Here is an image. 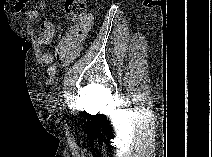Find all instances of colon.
Instances as JSON below:
<instances>
[{"label": "colon", "instance_id": "5ec220e1", "mask_svg": "<svg viewBox=\"0 0 212 157\" xmlns=\"http://www.w3.org/2000/svg\"><path fill=\"white\" fill-rule=\"evenodd\" d=\"M64 12L72 20L79 21L86 13V3L84 0H65ZM68 37H76V33L67 35Z\"/></svg>", "mask_w": 212, "mask_h": 157}]
</instances>
